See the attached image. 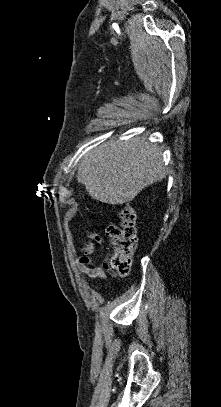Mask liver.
<instances>
[{
	"mask_svg": "<svg viewBox=\"0 0 221 407\" xmlns=\"http://www.w3.org/2000/svg\"><path fill=\"white\" fill-rule=\"evenodd\" d=\"M166 175L162 150L145 137L111 140L85 154L77 180L90 197L112 205L132 201Z\"/></svg>",
	"mask_w": 221,
	"mask_h": 407,
	"instance_id": "liver-1",
	"label": "liver"
}]
</instances>
